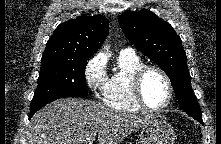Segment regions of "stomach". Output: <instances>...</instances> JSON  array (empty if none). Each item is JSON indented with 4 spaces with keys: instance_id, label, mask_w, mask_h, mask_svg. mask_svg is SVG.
Returning a JSON list of instances; mask_svg holds the SVG:
<instances>
[{
    "instance_id": "1",
    "label": "stomach",
    "mask_w": 221,
    "mask_h": 144,
    "mask_svg": "<svg viewBox=\"0 0 221 144\" xmlns=\"http://www.w3.org/2000/svg\"><path fill=\"white\" fill-rule=\"evenodd\" d=\"M173 127L163 118L155 117L140 132V144H174Z\"/></svg>"
}]
</instances>
